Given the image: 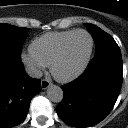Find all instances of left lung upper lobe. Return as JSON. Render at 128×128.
<instances>
[{
  "instance_id": "obj_1",
  "label": "left lung upper lobe",
  "mask_w": 128,
  "mask_h": 128,
  "mask_svg": "<svg viewBox=\"0 0 128 128\" xmlns=\"http://www.w3.org/2000/svg\"><path fill=\"white\" fill-rule=\"evenodd\" d=\"M86 27L90 30L91 35L96 45V54L107 49H117L119 46L111 35L100 29L93 24H86Z\"/></svg>"
}]
</instances>
